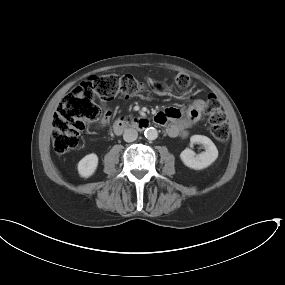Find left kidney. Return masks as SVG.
Masks as SVG:
<instances>
[{
  "mask_svg": "<svg viewBox=\"0 0 285 285\" xmlns=\"http://www.w3.org/2000/svg\"><path fill=\"white\" fill-rule=\"evenodd\" d=\"M194 143L202 144L205 152L198 155L189 148L183 150L180 154L182 162L189 168L201 170L210 166L218 157V150L212 140L203 135H193L190 138V145Z\"/></svg>",
  "mask_w": 285,
  "mask_h": 285,
  "instance_id": "obj_1",
  "label": "left kidney"
}]
</instances>
